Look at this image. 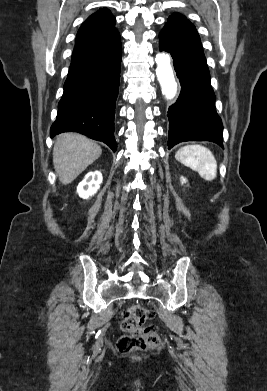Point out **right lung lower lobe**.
<instances>
[{
    "label": "right lung lower lobe",
    "instance_id": "obj_1",
    "mask_svg": "<svg viewBox=\"0 0 267 391\" xmlns=\"http://www.w3.org/2000/svg\"><path fill=\"white\" fill-rule=\"evenodd\" d=\"M121 53L119 43L71 62L57 118L50 129L51 137L62 132H79L116 150L114 115Z\"/></svg>",
    "mask_w": 267,
    "mask_h": 391
}]
</instances>
